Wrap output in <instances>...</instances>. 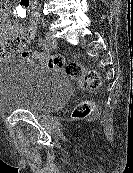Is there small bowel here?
I'll use <instances>...</instances> for the list:
<instances>
[{"label": "small bowel", "mask_w": 133, "mask_h": 173, "mask_svg": "<svg viewBox=\"0 0 133 173\" xmlns=\"http://www.w3.org/2000/svg\"><path fill=\"white\" fill-rule=\"evenodd\" d=\"M18 10L19 12H25L29 15V24L27 25V27L22 28L0 18V49H3L5 43L11 39H20L22 44L27 43L31 39H33L37 33L39 12L33 6L32 1L30 2L29 0H20L17 7V11ZM20 51L21 49L7 55L0 54V60H3L6 57H9L16 53H20Z\"/></svg>", "instance_id": "1"}]
</instances>
